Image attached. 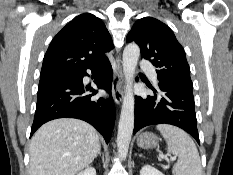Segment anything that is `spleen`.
Segmentation results:
<instances>
[{"label": "spleen", "instance_id": "1", "mask_svg": "<svg viewBox=\"0 0 233 175\" xmlns=\"http://www.w3.org/2000/svg\"><path fill=\"white\" fill-rule=\"evenodd\" d=\"M156 128L167 142L168 154L178 157L173 175H202L199 153L191 137L173 125L159 124Z\"/></svg>", "mask_w": 233, "mask_h": 175}]
</instances>
